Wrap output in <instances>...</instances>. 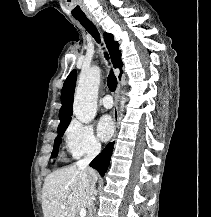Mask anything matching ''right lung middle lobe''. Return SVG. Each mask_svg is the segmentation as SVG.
<instances>
[{
  "label": "right lung middle lobe",
  "instance_id": "obj_1",
  "mask_svg": "<svg viewBox=\"0 0 211 217\" xmlns=\"http://www.w3.org/2000/svg\"><path fill=\"white\" fill-rule=\"evenodd\" d=\"M67 127H68V125L58 129V136L55 139V144H54V148H53V152H52L53 157H56L57 154H58V149H59V144H60V141H61V137L64 134Z\"/></svg>",
  "mask_w": 211,
  "mask_h": 217
}]
</instances>
